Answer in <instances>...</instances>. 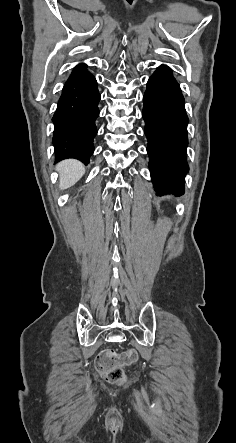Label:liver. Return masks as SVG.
<instances>
[{
    "mask_svg": "<svg viewBox=\"0 0 236 443\" xmlns=\"http://www.w3.org/2000/svg\"><path fill=\"white\" fill-rule=\"evenodd\" d=\"M60 174V189H67L78 182L85 173L83 164L77 160L69 159L60 162L56 166Z\"/></svg>",
    "mask_w": 236,
    "mask_h": 443,
    "instance_id": "liver-1",
    "label": "liver"
}]
</instances>
